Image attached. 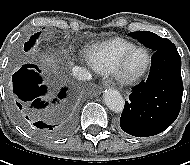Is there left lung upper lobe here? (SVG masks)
<instances>
[{
    "mask_svg": "<svg viewBox=\"0 0 190 165\" xmlns=\"http://www.w3.org/2000/svg\"><path fill=\"white\" fill-rule=\"evenodd\" d=\"M129 36L137 39L139 42H141L146 47L151 48L153 51H156L163 46L172 43L170 40L161 38L158 35L148 31L131 32L129 33Z\"/></svg>",
    "mask_w": 190,
    "mask_h": 165,
    "instance_id": "obj_1",
    "label": "left lung upper lobe"
}]
</instances>
